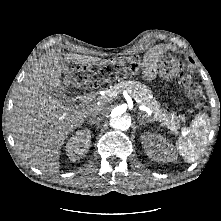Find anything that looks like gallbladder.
Instances as JSON below:
<instances>
[{"label":"gallbladder","mask_w":221,"mask_h":221,"mask_svg":"<svg viewBox=\"0 0 221 221\" xmlns=\"http://www.w3.org/2000/svg\"><path fill=\"white\" fill-rule=\"evenodd\" d=\"M53 96H55L56 98L60 99L62 102L68 104L69 103V100L62 94L60 93H56V92H53L51 93Z\"/></svg>","instance_id":"bac80fb5"}]
</instances>
